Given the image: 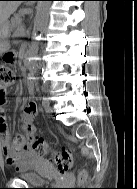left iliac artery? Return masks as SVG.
Segmentation results:
<instances>
[{
  "label": "left iliac artery",
  "mask_w": 137,
  "mask_h": 189,
  "mask_svg": "<svg viewBox=\"0 0 137 189\" xmlns=\"http://www.w3.org/2000/svg\"><path fill=\"white\" fill-rule=\"evenodd\" d=\"M50 101V98L49 97H43V103L44 104H48Z\"/></svg>",
  "instance_id": "obj_1"
}]
</instances>
